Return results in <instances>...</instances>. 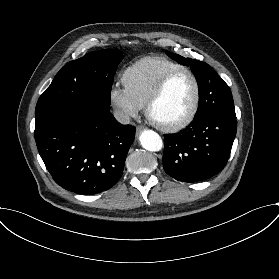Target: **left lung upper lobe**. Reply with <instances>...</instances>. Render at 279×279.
<instances>
[{
    "instance_id": "1",
    "label": "left lung upper lobe",
    "mask_w": 279,
    "mask_h": 279,
    "mask_svg": "<svg viewBox=\"0 0 279 279\" xmlns=\"http://www.w3.org/2000/svg\"><path fill=\"white\" fill-rule=\"evenodd\" d=\"M166 54L178 63L190 66L196 76L199 88V108L195 118L210 112L236 116L229 86L208 64L168 51Z\"/></svg>"
}]
</instances>
